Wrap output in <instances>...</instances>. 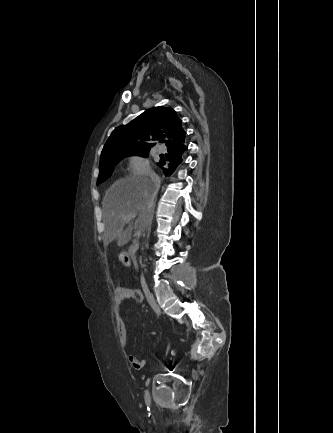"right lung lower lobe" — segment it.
I'll return each mask as SVG.
<instances>
[{"instance_id": "1", "label": "right lung lower lobe", "mask_w": 333, "mask_h": 433, "mask_svg": "<svg viewBox=\"0 0 333 433\" xmlns=\"http://www.w3.org/2000/svg\"><path fill=\"white\" fill-rule=\"evenodd\" d=\"M188 149V146L183 145L176 149L168 150V152L171 154V158L169 159L167 163V167H163L166 164V160L164 158H161L158 166L161 167L163 173L167 175H171L174 170L177 168V166L182 162V155L183 153Z\"/></svg>"}]
</instances>
